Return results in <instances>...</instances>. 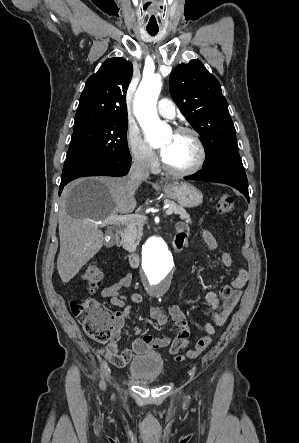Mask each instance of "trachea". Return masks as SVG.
Here are the masks:
<instances>
[{
    "mask_svg": "<svg viewBox=\"0 0 299 443\" xmlns=\"http://www.w3.org/2000/svg\"><path fill=\"white\" fill-rule=\"evenodd\" d=\"M147 32L151 35V36H155L158 33V30H147Z\"/></svg>",
    "mask_w": 299,
    "mask_h": 443,
    "instance_id": "trachea-1",
    "label": "trachea"
}]
</instances>
